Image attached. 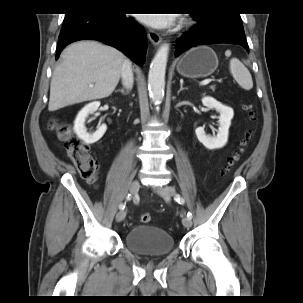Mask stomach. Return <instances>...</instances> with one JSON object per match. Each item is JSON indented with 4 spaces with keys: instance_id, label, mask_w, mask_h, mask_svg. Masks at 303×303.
Segmentation results:
<instances>
[{
    "instance_id": "obj_1",
    "label": "stomach",
    "mask_w": 303,
    "mask_h": 303,
    "mask_svg": "<svg viewBox=\"0 0 303 303\" xmlns=\"http://www.w3.org/2000/svg\"><path fill=\"white\" fill-rule=\"evenodd\" d=\"M217 67V55L208 46H198L190 49L177 63L178 73L188 78L207 77Z\"/></svg>"
}]
</instances>
